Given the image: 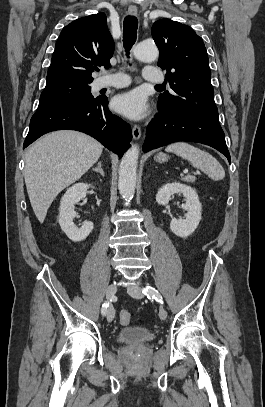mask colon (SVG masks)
<instances>
[{"label":"colon","mask_w":265,"mask_h":407,"mask_svg":"<svg viewBox=\"0 0 265 407\" xmlns=\"http://www.w3.org/2000/svg\"><path fill=\"white\" fill-rule=\"evenodd\" d=\"M131 320V314L128 311H122L119 315V322L121 325L125 326L129 324Z\"/></svg>","instance_id":"1"}]
</instances>
